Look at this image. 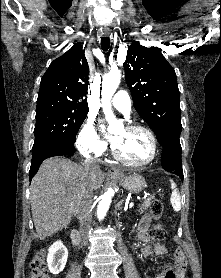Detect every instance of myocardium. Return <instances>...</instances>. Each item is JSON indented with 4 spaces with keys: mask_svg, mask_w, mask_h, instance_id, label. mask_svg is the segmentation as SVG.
<instances>
[{
    "mask_svg": "<svg viewBox=\"0 0 221 278\" xmlns=\"http://www.w3.org/2000/svg\"><path fill=\"white\" fill-rule=\"evenodd\" d=\"M125 129L129 130V131H140V132L145 133L149 137L150 142H151V155L146 161L132 162V161H129L128 159H126L125 157H123L118 152L117 148L114 145V146H112V154H113L114 158L117 159L118 161H120L121 163H123L127 166H130V167H133V168H143V167L151 164L156 159L157 154H158V144H157V140H156L154 133L150 129H148L144 126H140V125H128V126H126Z\"/></svg>",
    "mask_w": 221,
    "mask_h": 278,
    "instance_id": "f54148a6",
    "label": "myocardium"
}]
</instances>
